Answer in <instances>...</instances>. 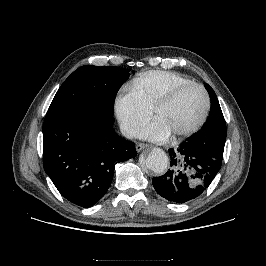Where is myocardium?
Segmentation results:
<instances>
[{"instance_id": "f54148a6", "label": "myocardium", "mask_w": 266, "mask_h": 266, "mask_svg": "<svg viewBox=\"0 0 266 266\" xmlns=\"http://www.w3.org/2000/svg\"><path fill=\"white\" fill-rule=\"evenodd\" d=\"M190 88H197L199 89L205 99V106H204V111L199 118V120L193 124L191 127L178 131L176 133H173V136L178 138V137H187L190 136L194 133H196L206 122L209 113H210V108H211V99L208 91L201 85L195 82L191 83H185L178 85L174 88H172L170 91H168L153 107V116L155 117L156 114L163 109L164 107L168 106L171 104L182 92H184L187 89Z\"/></svg>"}]
</instances>
